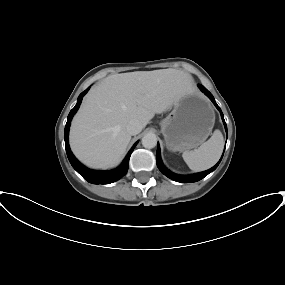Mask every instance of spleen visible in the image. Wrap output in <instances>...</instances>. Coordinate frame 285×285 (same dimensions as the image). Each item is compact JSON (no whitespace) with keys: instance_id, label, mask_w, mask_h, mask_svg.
Segmentation results:
<instances>
[{"instance_id":"spleen-1","label":"spleen","mask_w":285,"mask_h":285,"mask_svg":"<svg viewBox=\"0 0 285 285\" xmlns=\"http://www.w3.org/2000/svg\"><path fill=\"white\" fill-rule=\"evenodd\" d=\"M223 135L215 130L211 138L193 151H185L182 157L193 171H204L211 168L220 158L223 151Z\"/></svg>"}]
</instances>
